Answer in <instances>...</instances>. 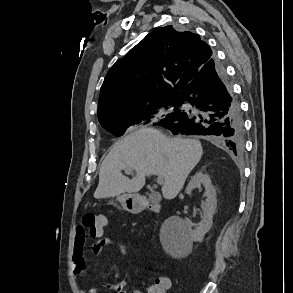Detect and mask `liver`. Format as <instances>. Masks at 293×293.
<instances>
[{
	"label": "liver",
	"instance_id": "liver-1",
	"mask_svg": "<svg viewBox=\"0 0 293 293\" xmlns=\"http://www.w3.org/2000/svg\"><path fill=\"white\" fill-rule=\"evenodd\" d=\"M203 154L199 140L168 138L161 131L143 127L115 143L99 172L96 199L136 193L149 175L161 176L163 197L174 199ZM135 171L132 179L121 171Z\"/></svg>",
	"mask_w": 293,
	"mask_h": 293
}]
</instances>
